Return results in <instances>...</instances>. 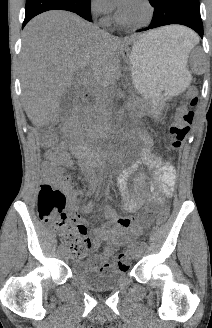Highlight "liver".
Wrapping results in <instances>:
<instances>
[{"instance_id":"liver-1","label":"liver","mask_w":212,"mask_h":328,"mask_svg":"<svg viewBox=\"0 0 212 328\" xmlns=\"http://www.w3.org/2000/svg\"><path fill=\"white\" fill-rule=\"evenodd\" d=\"M188 30L167 26L140 37L168 40L183 48ZM133 41L118 39L67 11H47L33 18L24 29L20 55L22 100L32 124L42 127L59 118L60 98L79 70L89 71L85 86L96 94L105 92L117 81L122 52Z\"/></svg>"}]
</instances>
